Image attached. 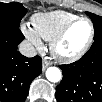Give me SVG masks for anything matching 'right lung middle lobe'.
Listing matches in <instances>:
<instances>
[{
  "mask_svg": "<svg viewBox=\"0 0 102 102\" xmlns=\"http://www.w3.org/2000/svg\"><path fill=\"white\" fill-rule=\"evenodd\" d=\"M27 13V10L21 3H0V26L4 24L19 27L21 19Z\"/></svg>",
  "mask_w": 102,
  "mask_h": 102,
  "instance_id": "1",
  "label": "right lung middle lobe"
}]
</instances>
